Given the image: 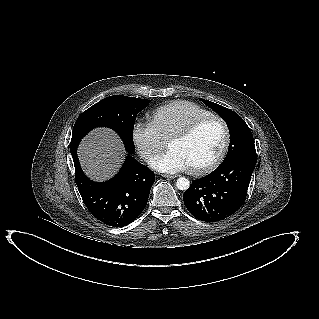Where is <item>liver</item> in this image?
<instances>
[{
    "mask_svg": "<svg viewBox=\"0 0 319 319\" xmlns=\"http://www.w3.org/2000/svg\"><path fill=\"white\" fill-rule=\"evenodd\" d=\"M124 153L120 137L107 128L93 130L78 147L80 164L85 174L95 181L112 177L121 167Z\"/></svg>",
    "mask_w": 319,
    "mask_h": 319,
    "instance_id": "6515ba94",
    "label": "liver"
}]
</instances>
